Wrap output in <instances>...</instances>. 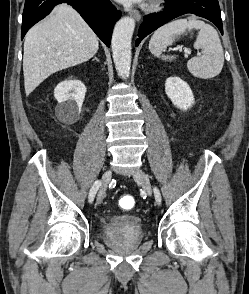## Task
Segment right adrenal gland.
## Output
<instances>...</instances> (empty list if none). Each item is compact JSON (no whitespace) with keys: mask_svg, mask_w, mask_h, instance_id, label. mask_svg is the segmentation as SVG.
<instances>
[{"mask_svg":"<svg viewBox=\"0 0 249 294\" xmlns=\"http://www.w3.org/2000/svg\"><path fill=\"white\" fill-rule=\"evenodd\" d=\"M96 60L97 62H99L97 57H94V59H92V61Z\"/></svg>","mask_w":249,"mask_h":294,"instance_id":"2a0ac1e0","label":"right adrenal gland"}]
</instances>
